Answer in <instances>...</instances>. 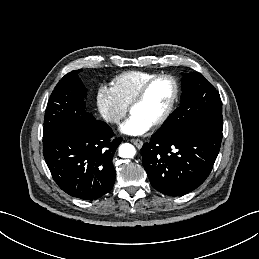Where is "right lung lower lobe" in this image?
<instances>
[{
  "instance_id": "obj_1",
  "label": "right lung lower lobe",
  "mask_w": 259,
  "mask_h": 259,
  "mask_svg": "<svg viewBox=\"0 0 259 259\" xmlns=\"http://www.w3.org/2000/svg\"><path fill=\"white\" fill-rule=\"evenodd\" d=\"M121 141L100 120L83 126L61 123L43 138V155L64 192L92 201L113 187L116 172L112 158Z\"/></svg>"
}]
</instances>
